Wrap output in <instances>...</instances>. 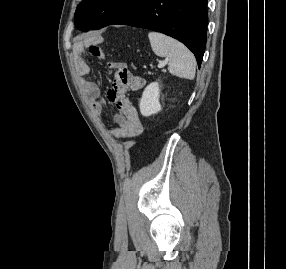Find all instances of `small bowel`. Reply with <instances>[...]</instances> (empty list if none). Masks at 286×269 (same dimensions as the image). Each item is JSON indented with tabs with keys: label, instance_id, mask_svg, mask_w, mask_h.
Listing matches in <instances>:
<instances>
[{
	"label": "small bowel",
	"instance_id": "1",
	"mask_svg": "<svg viewBox=\"0 0 286 269\" xmlns=\"http://www.w3.org/2000/svg\"><path fill=\"white\" fill-rule=\"evenodd\" d=\"M84 48L85 44L79 42L76 44V48L73 52V61L75 65L76 73L79 77L84 78L90 72V67L87 64L84 58ZM89 51L91 55L100 59L106 60V54L100 48L94 47L92 44L89 46ZM108 67L115 70L116 62H109ZM135 78H141L135 76ZM145 83H142V86ZM82 87L86 93V98L88 105L96 118H99L102 107L104 105V100L100 95L99 86L90 80L83 79ZM108 100L114 102L116 105L117 112L114 114V121L118 125L117 128L110 131V135L114 138L122 137H135L142 133L143 126L139 118L137 110H126V105L128 104L129 99L123 96V93L118 91V88H115V85L112 84L107 94Z\"/></svg>",
	"mask_w": 286,
	"mask_h": 269
}]
</instances>
